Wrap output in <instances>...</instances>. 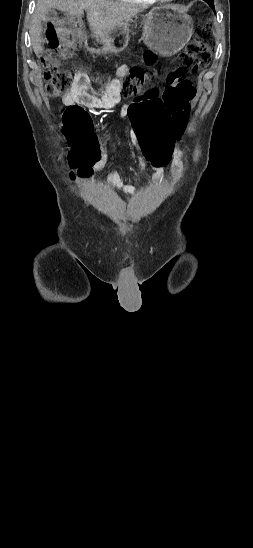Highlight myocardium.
<instances>
[{
    "label": "myocardium",
    "instance_id": "obj_1",
    "mask_svg": "<svg viewBox=\"0 0 253 548\" xmlns=\"http://www.w3.org/2000/svg\"><path fill=\"white\" fill-rule=\"evenodd\" d=\"M156 1H159V2H172L174 0H156Z\"/></svg>",
    "mask_w": 253,
    "mask_h": 548
}]
</instances>
